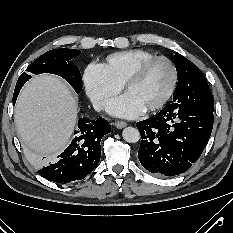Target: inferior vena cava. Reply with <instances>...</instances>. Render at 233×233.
Listing matches in <instances>:
<instances>
[{"label":"inferior vena cava","instance_id":"obj_1","mask_svg":"<svg viewBox=\"0 0 233 233\" xmlns=\"http://www.w3.org/2000/svg\"><path fill=\"white\" fill-rule=\"evenodd\" d=\"M93 107H94V109H95L96 111H100V110L103 108V103H101V102H95V103L93 104Z\"/></svg>","mask_w":233,"mask_h":233}]
</instances>
